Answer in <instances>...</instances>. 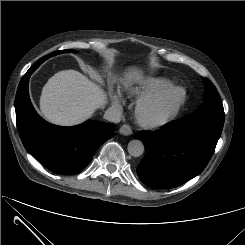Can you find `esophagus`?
Wrapping results in <instances>:
<instances>
[{
	"mask_svg": "<svg viewBox=\"0 0 245 245\" xmlns=\"http://www.w3.org/2000/svg\"><path fill=\"white\" fill-rule=\"evenodd\" d=\"M119 132L122 135L129 136L132 134V128L129 125L124 124L119 128Z\"/></svg>",
	"mask_w": 245,
	"mask_h": 245,
	"instance_id": "34e87169",
	"label": "esophagus"
}]
</instances>
